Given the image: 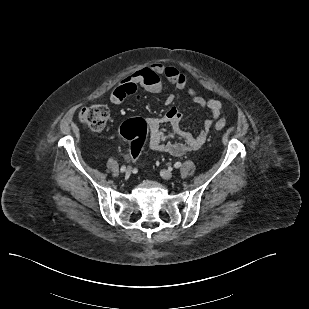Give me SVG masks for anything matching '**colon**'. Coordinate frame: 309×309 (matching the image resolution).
I'll return each instance as SVG.
<instances>
[{"label":"colon","mask_w":309,"mask_h":309,"mask_svg":"<svg viewBox=\"0 0 309 309\" xmlns=\"http://www.w3.org/2000/svg\"><path fill=\"white\" fill-rule=\"evenodd\" d=\"M81 122L92 131H101L106 126L109 110L104 105H89L82 108L79 114ZM226 123L223 120L215 124L216 130H222ZM121 136L129 142L130 157L137 160L148 135L146 122L141 118L126 121L120 129Z\"/></svg>","instance_id":"1"}]
</instances>
